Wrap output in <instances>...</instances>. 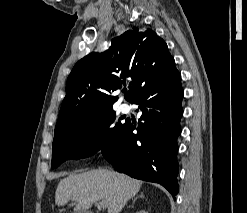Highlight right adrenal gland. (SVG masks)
<instances>
[{
	"mask_svg": "<svg viewBox=\"0 0 247 213\" xmlns=\"http://www.w3.org/2000/svg\"><path fill=\"white\" fill-rule=\"evenodd\" d=\"M144 197V195L141 193L138 197H135L133 200H132V203H134L136 200H137V198H143Z\"/></svg>",
	"mask_w": 247,
	"mask_h": 213,
	"instance_id": "1",
	"label": "right adrenal gland"
}]
</instances>
